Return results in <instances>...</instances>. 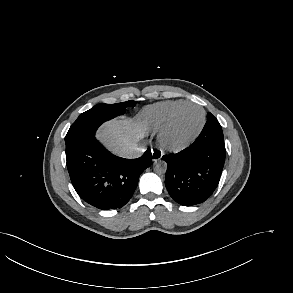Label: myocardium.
<instances>
[{
  "label": "myocardium",
  "mask_w": 293,
  "mask_h": 293,
  "mask_svg": "<svg viewBox=\"0 0 293 293\" xmlns=\"http://www.w3.org/2000/svg\"><path fill=\"white\" fill-rule=\"evenodd\" d=\"M197 107L198 109H200L201 113H202V120H201V124L199 126V128L197 129V131L194 133V135L189 138L186 142L181 143V144H173L169 141V134L170 131L172 129V126L178 116V114L180 113V111L186 107ZM206 111L204 110V108L196 103L193 102H185L183 104H181L180 106H178L177 108H175L172 113L170 114L167 122L165 123V125L162 127V129L160 130L159 134H158V144L160 146V148L164 151L167 152H171V153H178L181 151L186 150L187 148H189L200 136V134L202 133L205 124H206Z\"/></svg>",
  "instance_id": "obj_1"
}]
</instances>
